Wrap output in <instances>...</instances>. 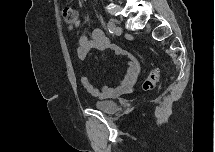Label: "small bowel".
Wrapping results in <instances>:
<instances>
[{
	"mask_svg": "<svg viewBox=\"0 0 215 152\" xmlns=\"http://www.w3.org/2000/svg\"><path fill=\"white\" fill-rule=\"evenodd\" d=\"M92 49L99 51L111 50L123 58L127 64L126 73L122 81L114 87L101 89L93 86L86 76L80 79L82 87L91 95L101 98H116L131 92L139 73V63L129 51L111 43L101 29L93 30L91 37L81 36L77 48V56L80 60L86 59Z\"/></svg>",
	"mask_w": 215,
	"mask_h": 152,
	"instance_id": "1",
	"label": "small bowel"
}]
</instances>
